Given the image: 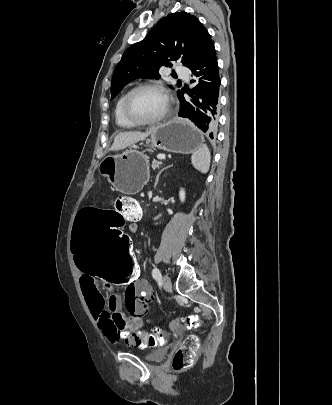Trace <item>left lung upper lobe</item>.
Returning a JSON list of instances; mask_svg holds the SVG:
<instances>
[{"instance_id":"left-lung-upper-lobe-1","label":"left lung upper lobe","mask_w":332,"mask_h":405,"mask_svg":"<svg viewBox=\"0 0 332 405\" xmlns=\"http://www.w3.org/2000/svg\"><path fill=\"white\" fill-rule=\"evenodd\" d=\"M212 44L197 17L186 12L168 15L142 41L124 52L113 73L111 99L134 79L160 78V67H171V61L179 60L192 68Z\"/></svg>"}]
</instances>
